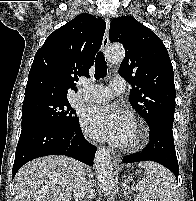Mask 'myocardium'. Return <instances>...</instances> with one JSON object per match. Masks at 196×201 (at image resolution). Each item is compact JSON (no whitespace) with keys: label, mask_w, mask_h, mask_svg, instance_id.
Masks as SVG:
<instances>
[{"label":"myocardium","mask_w":196,"mask_h":201,"mask_svg":"<svg viewBox=\"0 0 196 201\" xmlns=\"http://www.w3.org/2000/svg\"><path fill=\"white\" fill-rule=\"evenodd\" d=\"M148 139V130L142 123L135 125V138L132 142L123 145V149L128 152H133L140 149Z\"/></svg>","instance_id":"myocardium-1"}]
</instances>
